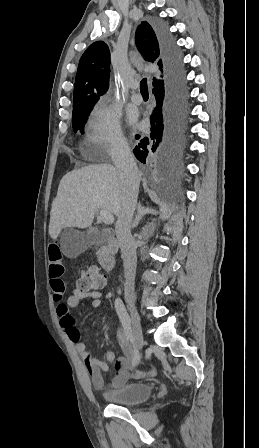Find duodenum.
I'll return each mask as SVG.
<instances>
[{
  "label": "duodenum",
  "instance_id": "duodenum-1",
  "mask_svg": "<svg viewBox=\"0 0 259 448\" xmlns=\"http://www.w3.org/2000/svg\"><path fill=\"white\" fill-rule=\"evenodd\" d=\"M118 249L115 238L110 235H104L99 244L98 262L103 270L110 272L115 267L114 254Z\"/></svg>",
  "mask_w": 259,
  "mask_h": 448
}]
</instances>
